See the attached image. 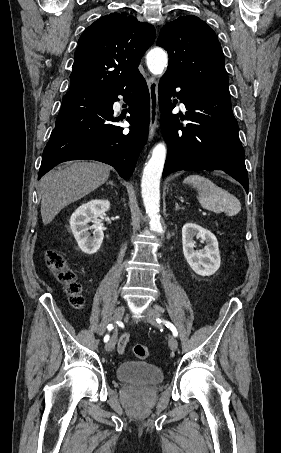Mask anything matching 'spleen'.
<instances>
[{
    "label": "spleen",
    "mask_w": 281,
    "mask_h": 453,
    "mask_svg": "<svg viewBox=\"0 0 281 453\" xmlns=\"http://www.w3.org/2000/svg\"><path fill=\"white\" fill-rule=\"evenodd\" d=\"M183 182L191 184L193 188L198 190V200L207 210H213V212H226L228 216H234L241 210L240 200L230 194L224 188H220L217 184H214L209 178L200 176V174H190L187 178H184Z\"/></svg>",
    "instance_id": "obj_1"
}]
</instances>
